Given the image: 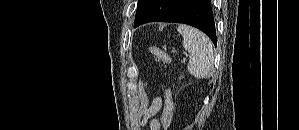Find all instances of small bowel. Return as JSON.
Masks as SVG:
<instances>
[{"mask_svg": "<svg viewBox=\"0 0 299 130\" xmlns=\"http://www.w3.org/2000/svg\"><path fill=\"white\" fill-rule=\"evenodd\" d=\"M162 106V100L156 97L149 108L145 111L141 124L148 126L150 130H160V122L155 118V115L159 112Z\"/></svg>", "mask_w": 299, "mask_h": 130, "instance_id": "small-bowel-1", "label": "small bowel"}]
</instances>
